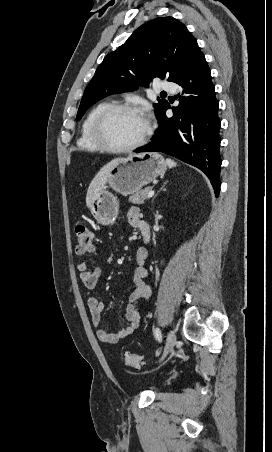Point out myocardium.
<instances>
[{
	"mask_svg": "<svg viewBox=\"0 0 272 452\" xmlns=\"http://www.w3.org/2000/svg\"><path fill=\"white\" fill-rule=\"evenodd\" d=\"M118 111L139 113L144 116L141 110L134 105L124 103L118 104L108 103L96 113L92 120L91 124L92 136L95 139V141L100 145V147L104 150L115 153L129 152L140 147L148 140L152 131V127L150 122L146 121L145 131L139 139L128 145H116L112 143L107 137L105 122L111 114Z\"/></svg>",
	"mask_w": 272,
	"mask_h": 452,
	"instance_id": "obj_1",
	"label": "myocardium"
}]
</instances>
